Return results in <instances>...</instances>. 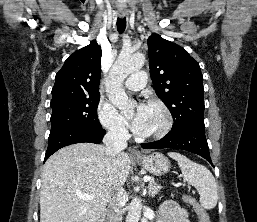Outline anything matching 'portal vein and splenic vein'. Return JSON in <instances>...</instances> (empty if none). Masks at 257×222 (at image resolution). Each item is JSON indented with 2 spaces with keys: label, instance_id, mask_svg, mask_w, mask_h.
<instances>
[{
  "label": "portal vein and splenic vein",
  "instance_id": "1",
  "mask_svg": "<svg viewBox=\"0 0 257 222\" xmlns=\"http://www.w3.org/2000/svg\"><path fill=\"white\" fill-rule=\"evenodd\" d=\"M144 181H151V177H144ZM80 198L85 199V200H92L95 197V194H84V195H79Z\"/></svg>",
  "mask_w": 257,
  "mask_h": 222
}]
</instances>
